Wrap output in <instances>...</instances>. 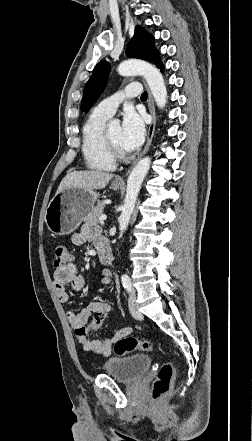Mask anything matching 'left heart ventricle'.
Instances as JSON below:
<instances>
[{
    "label": "left heart ventricle",
    "instance_id": "b2bd125f",
    "mask_svg": "<svg viewBox=\"0 0 252 441\" xmlns=\"http://www.w3.org/2000/svg\"><path fill=\"white\" fill-rule=\"evenodd\" d=\"M107 131H108V135H109V138L112 141V143L115 146H117L119 149H121L120 145H119L121 127L120 126H112V127H109L107 129Z\"/></svg>",
    "mask_w": 252,
    "mask_h": 441
}]
</instances>
